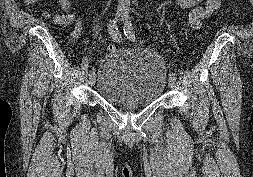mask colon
<instances>
[{"instance_id": "obj_1", "label": "colon", "mask_w": 253, "mask_h": 177, "mask_svg": "<svg viewBox=\"0 0 253 177\" xmlns=\"http://www.w3.org/2000/svg\"><path fill=\"white\" fill-rule=\"evenodd\" d=\"M107 50L110 52V53H112V52H115L116 51V45H115V43L114 42H109L108 44H107Z\"/></svg>"}]
</instances>
